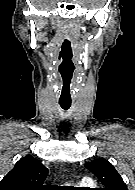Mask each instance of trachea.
<instances>
[{"instance_id": "trachea-1", "label": "trachea", "mask_w": 135, "mask_h": 190, "mask_svg": "<svg viewBox=\"0 0 135 190\" xmlns=\"http://www.w3.org/2000/svg\"><path fill=\"white\" fill-rule=\"evenodd\" d=\"M60 106L63 110H68L71 106V103H60Z\"/></svg>"}]
</instances>
